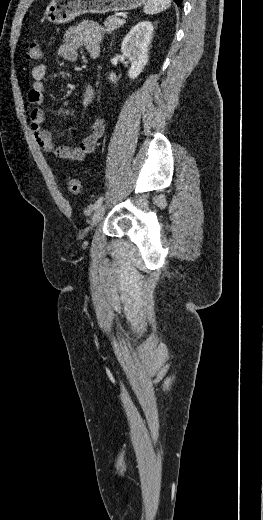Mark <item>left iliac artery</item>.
Returning a JSON list of instances; mask_svg holds the SVG:
<instances>
[{
	"mask_svg": "<svg viewBox=\"0 0 263 520\" xmlns=\"http://www.w3.org/2000/svg\"><path fill=\"white\" fill-rule=\"evenodd\" d=\"M102 201H103V197H100L96 203L94 204V207L93 209L96 210L101 204H102Z\"/></svg>",
	"mask_w": 263,
	"mask_h": 520,
	"instance_id": "44dca946",
	"label": "left iliac artery"
}]
</instances>
